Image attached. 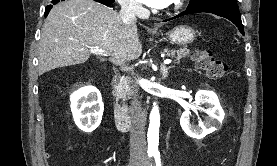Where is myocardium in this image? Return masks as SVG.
I'll return each instance as SVG.
<instances>
[{
    "label": "myocardium",
    "mask_w": 277,
    "mask_h": 166,
    "mask_svg": "<svg viewBox=\"0 0 277 166\" xmlns=\"http://www.w3.org/2000/svg\"><path fill=\"white\" fill-rule=\"evenodd\" d=\"M185 0H176L169 8H167L164 13L165 14H172L174 12L179 11L183 4H184Z\"/></svg>",
    "instance_id": "obj_1"
}]
</instances>
